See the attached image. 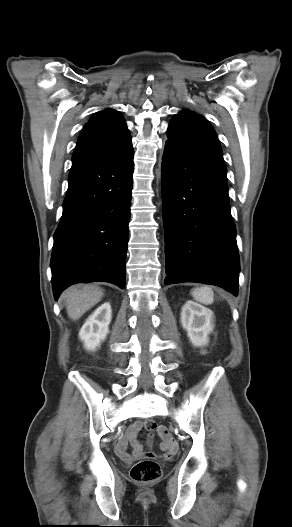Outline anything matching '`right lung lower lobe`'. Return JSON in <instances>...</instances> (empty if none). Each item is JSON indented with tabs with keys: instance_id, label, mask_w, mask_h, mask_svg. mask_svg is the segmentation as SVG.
<instances>
[{
	"instance_id": "obj_1",
	"label": "right lung lower lobe",
	"mask_w": 292,
	"mask_h": 527,
	"mask_svg": "<svg viewBox=\"0 0 292 527\" xmlns=\"http://www.w3.org/2000/svg\"><path fill=\"white\" fill-rule=\"evenodd\" d=\"M132 174L133 147L72 159L50 263L56 300L74 283L106 281L124 289Z\"/></svg>"
}]
</instances>
